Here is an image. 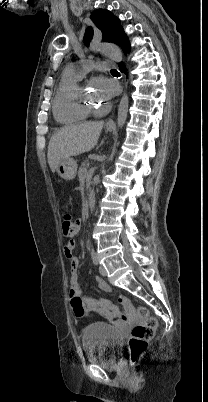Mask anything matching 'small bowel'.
Masks as SVG:
<instances>
[{"label":"small bowel","instance_id":"obj_1","mask_svg":"<svg viewBox=\"0 0 208 402\" xmlns=\"http://www.w3.org/2000/svg\"><path fill=\"white\" fill-rule=\"evenodd\" d=\"M82 223L77 221L73 226L74 232H79ZM77 242L76 236L70 237V243L66 247L63 248L64 258L71 259L70 263V289L69 296L70 298L79 297V269L78 263L76 259L73 257V250L75 248V244ZM95 283L98 288L105 292H111L110 285L101 277L95 278ZM122 298L126 301H122L124 312L113 306L109 300L107 299H96L93 297H84L82 299V303L89 310L100 313L105 319L110 321H116L115 327L117 330H126L129 327V324L133 321V317H135V310L131 309V303L128 299L125 298V295H122Z\"/></svg>","mask_w":208,"mask_h":402}]
</instances>
